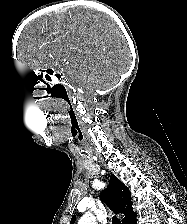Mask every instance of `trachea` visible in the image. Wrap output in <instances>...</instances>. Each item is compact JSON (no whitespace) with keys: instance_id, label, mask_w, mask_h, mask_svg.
Here are the masks:
<instances>
[{"instance_id":"3493384b","label":"trachea","mask_w":187,"mask_h":224,"mask_svg":"<svg viewBox=\"0 0 187 224\" xmlns=\"http://www.w3.org/2000/svg\"><path fill=\"white\" fill-rule=\"evenodd\" d=\"M112 224H121V221L117 216L112 217Z\"/></svg>"}]
</instances>
